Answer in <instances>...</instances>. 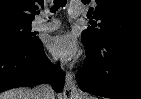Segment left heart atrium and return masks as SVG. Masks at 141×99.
I'll return each mask as SVG.
<instances>
[{"mask_svg":"<svg viewBox=\"0 0 141 99\" xmlns=\"http://www.w3.org/2000/svg\"><path fill=\"white\" fill-rule=\"evenodd\" d=\"M49 49L54 56L65 61L73 60L79 52L77 40L68 33L54 37L49 43Z\"/></svg>","mask_w":141,"mask_h":99,"instance_id":"obj_1","label":"left heart atrium"}]
</instances>
